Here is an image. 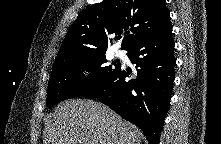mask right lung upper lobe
<instances>
[{"label":"right lung upper lobe","mask_w":221,"mask_h":144,"mask_svg":"<svg viewBox=\"0 0 221 144\" xmlns=\"http://www.w3.org/2000/svg\"><path fill=\"white\" fill-rule=\"evenodd\" d=\"M165 0H103L83 10L65 36L53 67L105 53L110 35L125 37L121 48L128 50L169 22Z\"/></svg>","instance_id":"right-lung-upper-lobe-1"}]
</instances>
